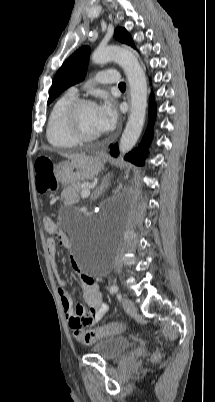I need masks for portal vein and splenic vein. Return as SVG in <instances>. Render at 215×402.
Here are the masks:
<instances>
[{
	"label": "portal vein and splenic vein",
	"mask_w": 215,
	"mask_h": 402,
	"mask_svg": "<svg viewBox=\"0 0 215 402\" xmlns=\"http://www.w3.org/2000/svg\"><path fill=\"white\" fill-rule=\"evenodd\" d=\"M90 195V188L84 187L81 191V196L87 198Z\"/></svg>",
	"instance_id": "obj_1"
}]
</instances>
